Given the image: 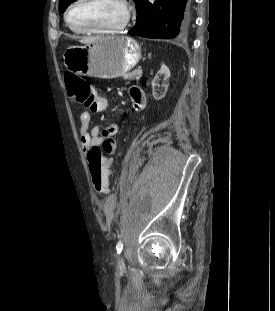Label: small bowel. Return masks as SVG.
Segmentation results:
<instances>
[{
    "instance_id": "c3829d8e",
    "label": "small bowel",
    "mask_w": 275,
    "mask_h": 311,
    "mask_svg": "<svg viewBox=\"0 0 275 311\" xmlns=\"http://www.w3.org/2000/svg\"><path fill=\"white\" fill-rule=\"evenodd\" d=\"M129 95L135 108L142 107L144 102V93L140 87L133 86L129 89ZM86 110L80 114V142L83 146L85 154L94 146H101L107 154H114L117 149L115 135L118 132V126L115 123L106 125L105 127L93 126L90 127L91 113L101 112L106 108L104 98H97L86 105Z\"/></svg>"
}]
</instances>
